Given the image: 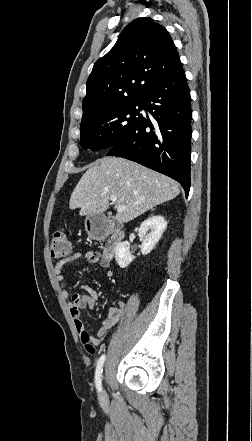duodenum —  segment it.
I'll return each mask as SVG.
<instances>
[{
    "mask_svg": "<svg viewBox=\"0 0 252 441\" xmlns=\"http://www.w3.org/2000/svg\"><path fill=\"white\" fill-rule=\"evenodd\" d=\"M88 229L92 239H107L102 255L105 259L110 260L125 236L123 228L117 223L104 224L99 219L94 218L89 221Z\"/></svg>",
    "mask_w": 252,
    "mask_h": 441,
    "instance_id": "1",
    "label": "duodenum"
}]
</instances>
